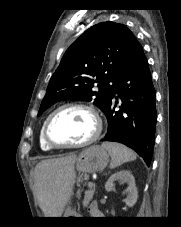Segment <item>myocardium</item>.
I'll use <instances>...</instances> for the list:
<instances>
[{
  "instance_id": "obj_1",
  "label": "myocardium",
  "mask_w": 181,
  "mask_h": 227,
  "mask_svg": "<svg viewBox=\"0 0 181 227\" xmlns=\"http://www.w3.org/2000/svg\"><path fill=\"white\" fill-rule=\"evenodd\" d=\"M69 108H78V109H82V110L88 112L94 121V131L90 135V137H88L84 141L77 142V143H58V142L54 141L50 136L51 122H52L53 118L60 111L69 109ZM102 128H103L102 119H101L100 115L98 114V112L92 106L81 103V102H70V103H66V104H63V105L57 107L55 110H53L50 113V115L47 117V119L44 123L43 137H44L45 141L47 142V144L49 146H51L52 148H58V149L81 148V147H86V146L92 144L93 142H95L99 138V136L102 132Z\"/></svg>"
}]
</instances>
